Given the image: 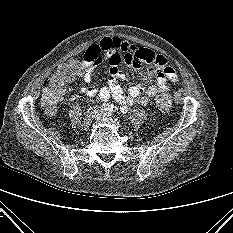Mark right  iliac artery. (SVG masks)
Returning <instances> with one entry per match:
<instances>
[{"instance_id":"right-iliac-artery-1","label":"right iliac artery","mask_w":233,"mask_h":233,"mask_svg":"<svg viewBox=\"0 0 233 233\" xmlns=\"http://www.w3.org/2000/svg\"><path fill=\"white\" fill-rule=\"evenodd\" d=\"M111 106L107 103H104L103 105H101V109L104 110V111H108L110 110Z\"/></svg>"}]
</instances>
